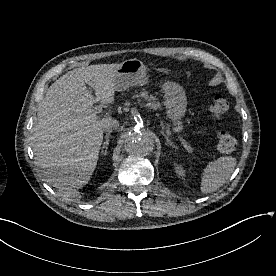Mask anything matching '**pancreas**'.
Wrapping results in <instances>:
<instances>
[{
  "mask_svg": "<svg viewBox=\"0 0 276 276\" xmlns=\"http://www.w3.org/2000/svg\"><path fill=\"white\" fill-rule=\"evenodd\" d=\"M133 98H137L138 102L141 101L140 98H142L143 100L147 101V102H150V108L151 109H154V110H157V109H160L161 108V104L159 102H157L156 100V97L155 96H152V95H148V92L145 91V90H142L139 94H135L133 96ZM182 129L181 126H178L175 128V131H180Z\"/></svg>",
  "mask_w": 276,
  "mask_h": 276,
  "instance_id": "obj_1",
  "label": "pancreas"
}]
</instances>
